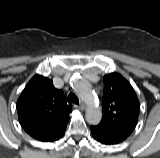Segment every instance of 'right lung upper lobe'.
Here are the masks:
<instances>
[{
  "mask_svg": "<svg viewBox=\"0 0 160 158\" xmlns=\"http://www.w3.org/2000/svg\"><path fill=\"white\" fill-rule=\"evenodd\" d=\"M23 129L33 138L48 142L61 135L72 111L64 93L52 80L35 75L22 91L16 104Z\"/></svg>",
  "mask_w": 160,
  "mask_h": 158,
  "instance_id": "1",
  "label": "right lung upper lobe"
}]
</instances>
